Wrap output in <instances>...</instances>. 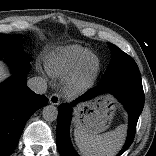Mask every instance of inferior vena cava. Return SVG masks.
Instances as JSON below:
<instances>
[{
	"instance_id": "obj_1",
	"label": "inferior vena cava",
	"mask_w": 156,
	"mask_h": 156,
	"mask_svg": "<svg viewBox=\"0 0 156 156\" xmlns=\"http://www.w3.org/2000/svg\"><path fill=\"white\" fill-rule=\"evenodd\" d=\"M27 86L36 94H44L47 90V82L42 77H32L27 81Z\"/></svg>"
}]
</instances>
